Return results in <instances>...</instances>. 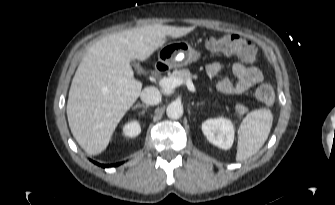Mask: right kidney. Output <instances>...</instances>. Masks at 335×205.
I'll return each mask as SVG.
<instances>
[{
  "mask_svg": "<svg viewBox=\"0 0 335 205\" xmlns=\"http://www.w3.org/2000/svg\"><path fill=\"white\" fill-rule=\"evenodd\" d=\"M122 130L125 137L133 138L140 134L141 127L137 120H133L126 123Z\"/></svg>",
  "mask_w": 335,
  "mask_h": 205,
  "instance_id": "right-kidney-1",
  "label": "right kidney"
}]
</instances>
